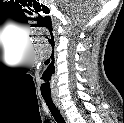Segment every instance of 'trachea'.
<instances>
[{
	"label": "trachea",
	"mask_w": 124,
	"mask_h": 123,
	"mask_svg": "<svg viewBox=\"0 0 124 123\" xmlns=\"http://www.w3.org/2000/svg\"><path fill=\"white\" fill-rule=\"evenodd\" d=\"M43 98H44V101H45L47 107L49 108L52 116L54 117L55 121L57 123H65L64 118L62 117L60 111L57 109V107L53 103L52 98L51 97H46V96H43Z\"/></svg>",
	"instance_id": "trachea-1"
}]
</instances>
